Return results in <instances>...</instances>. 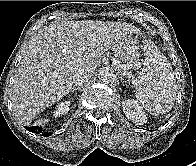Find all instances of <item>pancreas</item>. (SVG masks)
Listing matches in <instances>:
<instances>
[{
    "mask_svg": "<svg viewBox=\"0 0 196 166\" xmlns=\"http://www.w3.org/2000/svg\"><path fill=\"white\" fill-rule=\"evenodd\" d=\"M126 73L127 76H130V72L129 71H124Z\"/></svg>",
    "mask_w": 196,
    "mask_h": 166,
    "instance_id": "obj_1",
    "label": "pancreas"
}]
</instances>
